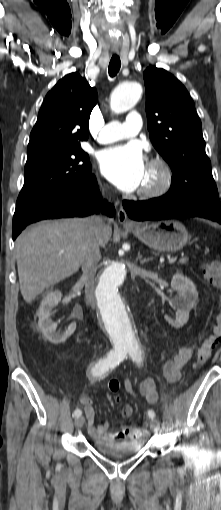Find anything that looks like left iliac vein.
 Returning <instances> with one entry per match:
<instances>
[{
  "label": "left iliac vein",
  "instance_id": "left-iliac-vein-1",
  "mask_svg": "<svg viewBox=\"0 0 221 510\" xmlns=\"http://www.w3.org/2000/svg\"><path fill=\"white\" fill-rule=\"evenodd\" d=\"M150 428L151 430H153L155 433H157L159 431V428H160V425H159V421L156 420V419H152L150 421Z\"/></svg>",
  "mask_w": 221,
  "mask_h": 510
}]
</instances>
